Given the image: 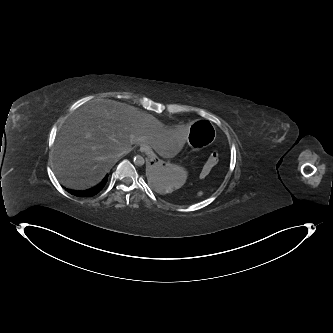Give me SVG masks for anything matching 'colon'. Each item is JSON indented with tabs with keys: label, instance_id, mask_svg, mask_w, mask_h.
I'll list each match as a JSON object with an SVG mask.
<instances>
[{
	"label": "colon",
	"instance_id": "colon-1",
	"mask_svg": "<svg viewBox=\"0 0 333 333\" xmlns=\"http://www.w3.org/2000/svg\"><path fill=\"white\" fill-rule=\"evenodd\" d=\"M219 160V154L214 151L210 154L208 162L201 170L200 176L205 177L209 174L210 170L218 163Z\"/></svg>",
	"mask_w": 333,
	"mask_h": 333
}]
</instances>
